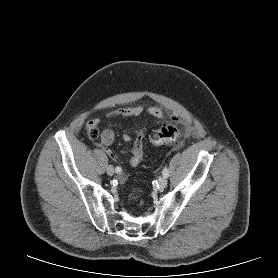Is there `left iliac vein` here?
Returning <instances> with one entry per match:
<instances>
[{
  "label": "left iliac vein",
  "mask_w": 278,
  "mask_h": 278,
  "mask_svg": "<svg viewBox=\"0 0 278 278\" xmlns=\"http://www.w3.org/2000/svg\"><path fill=\"white\" fill-rule=\"evenodd\" d=\"M158 184L160 188H165L167 186V178L165 176H161L158 179Z\"/></svg>",
  "instance_id": "left-iliac-vein-1"
}]
</instances>
